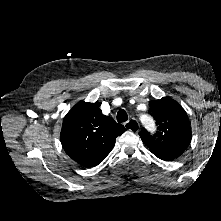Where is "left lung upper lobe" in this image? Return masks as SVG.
Returning <instances> with one entry per match:
<instances>
[{
  "instance_id": "1",
  "label": "left lung upper lobe",
  "mask_w": 221,
  "mask_h": 221,
  "mask_svg": "<svg viewBox=\"0 0 221 221\" xmlns=\"http://www.w3.org/2000/svg\"><path fill=\"white\" fill-rule=\"evenodd\" d=\"M157 124L155 134L142 129L139 135L151 152H173L186 149L192 134L188 116L179 103L170 97L149 102Z\"/></svg>"
}]
</instances>
